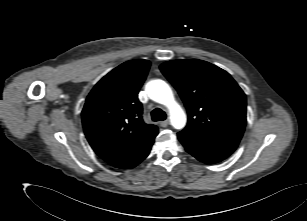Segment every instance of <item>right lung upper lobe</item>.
<instances>
[{"mask_svg":"<svg viewBox=\"0 0 307 221\" xmlns=\"http://www.w3.org/2000/svg\"><path fill=\"white\" fill-rule=\"evenodd\" d=\"M149 67L148 60L127 61L116 67L94 86L82 110L89 144L114 167L129 162L158 134L155 125L144 123L137 97Z\"/></svg>","mask_w":307,"mask_h":221,"instance_id":"obj_1","label":"right lung upper lobe"}]
</instances>
